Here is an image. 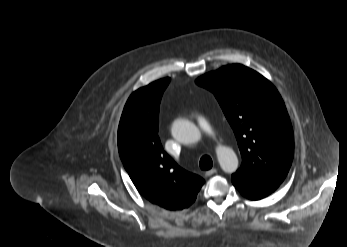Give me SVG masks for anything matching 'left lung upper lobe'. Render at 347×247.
I'll list each match as a JSON object with an SVG mask.
<instances>
[{"label":"left lung upper lobe","mask_w":347,"mask_h":247,"mask_svg":"<svg viewBox=\"0 0 347 247\" xmlns=\"http://www.w3.org/2000/svg\"><path fill=\"white\" fill-rule=\"evenodd\" d=\"M196 83L214 93L233 128L242 155L233 175L281 184L292 163L294 139L286 107L272 83L240 64L205 74Z\"/></svg>","instance_id":"left-lung-upper-lobe-1"}]
</instances>
